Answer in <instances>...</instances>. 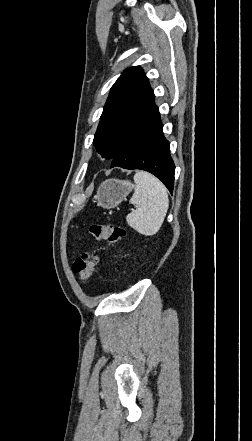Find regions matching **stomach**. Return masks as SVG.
I'll return each instance as SVG.
<instances>
[{
	"mask_svg": "<svg viewBox=\"0 0 252 441\" xmlns=\"http://www.w3.org/2000/svg\"><path fill=\"white\" fill-rule=\"evenodd\" d=\"M134 185L129 181L108 179L98 188L95 197L99 206L110 209L120 204L133 190Z\"/></svg>",
	"mask_w": 252,
	"mask_h": 441,
	"instance_id": "stomach-1",
	"label": "stomach"
}]
</instances>
